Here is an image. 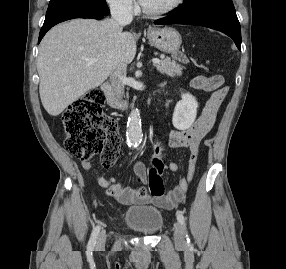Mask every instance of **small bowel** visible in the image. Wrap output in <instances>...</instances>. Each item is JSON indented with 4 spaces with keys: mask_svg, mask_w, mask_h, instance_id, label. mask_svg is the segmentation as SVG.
I'll return each instance as SVG.
<instances>
[{
    "mask_svg": "<svg viewBox=\"0 0 286 269\" xmlns=\"http://www.w3.org/2000/svg\"><path fill=\"white\" fill-rule=\"evenodd\" d=\"M167 104L168 103H166V105ZM218 111L219 110H202L200 116L192 127L183 131H172L170 133L169 146L173 149H188L189 158L186 177L180 178L178 185L174 189L170 190L166 195L156 197L147 193L141 194L140 192H137L131 188L121 187H118V192L116 195H112L110 190L116 186L114 179L112 177L105 178L100 175H96L98 185L106 189L111 197L123 203L152 202L154 205L164 209H175L181 202L190 182L193 180L196 162L199 156V145L202 139L212 129L216 121ZM81 166L86 170L94 171L93 164L90 161H82ZM168 169L176 172L179 170V165L174 161H170L168 163ZM134 170L143 181H146V167L141 161L135 162Z\"/></svg>",
    "mask_w": 286,
    "mask_h": 269,
    "instance_id": "small-bowel-1",
    "label": "small bowel"
}]
</instances>
